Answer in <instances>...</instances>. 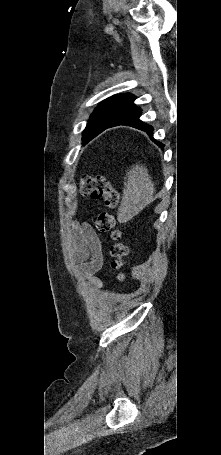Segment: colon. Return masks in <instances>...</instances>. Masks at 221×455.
<instances>
[{"instance_id": "colon-1", "label": "colon", "mask_w": 221, "mask_h": 455, "mask_svg": "<svg viewBox=\"0 0 221 455\" xmlns=\"http://www.w3.org/2000/svg\"><path fill=\"white\" fill-rule=\"evenodd\" d=\"M80 192L84 196H91L94 199L102 200L111 211L101 212L96 218V227L100 232H108L114 228L116 223L114 210L120 199L119 192L112 187L109 180L104 176H84L80 181ZM114 244L111 248L113 256V267L121 270L125 266V257L128 252L127 246L123 243L124 234L120 230L112 233ZM123 275H121L122 277Z\"/></svg>"}]
</instances>
